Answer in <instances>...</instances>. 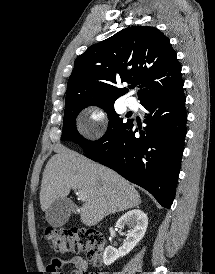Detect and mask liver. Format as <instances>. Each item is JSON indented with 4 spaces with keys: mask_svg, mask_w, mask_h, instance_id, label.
<instances>
[{
    "mask_svg": "<svg viewBox=\"0 0 215 274\" xmlns=\"http://www.w3.org/2000/svg\"><path fill=\"white\" fill-rule=\"evenodd\" d=\"M71 189L86 193L80 215L86 226H94L110 214L141 203L138 191L116 172L77 152L60 148L43 172L41 209L46 211L56 199L65 198Z\"/></svg>",
    "mask_w": 215,
    "mask_h": 274,
    "instance_id": "1",
    "label": "liver"
}]
</instances>
